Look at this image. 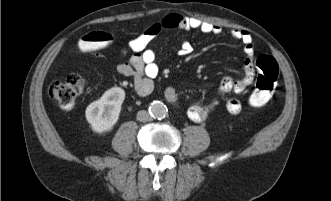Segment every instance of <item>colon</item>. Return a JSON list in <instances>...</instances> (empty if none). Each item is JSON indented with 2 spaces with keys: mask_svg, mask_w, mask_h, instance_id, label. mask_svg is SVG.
I'll return each mask as SVG.
<instances>
[{
  "mask_svg": "<svg viewBox=\"0 0 331 201\" xmlns=\"http://www.w3.org/2000/svg\"><path fill=\"white\" fill-rule=\"evenodd\" d=\"M113 41V35L108 32L92 31L79 40L78 47L83 52H95L108 47ZM256 66L258 76L249 103L253 107H261L273 96L278 80V65L273 57L261 55L256 60ZM84 84V78L73 73L63 80L53 82L49 92L60 108L70 110L76 105L78 97L83 92Z\"/></svg>",
  "mask_w": 331,
  "mask_h": 201,
  "instance_id": "1",
  "label": "colon"
}]
</instances>
